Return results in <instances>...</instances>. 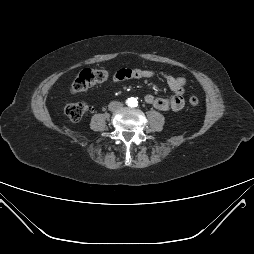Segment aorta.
<instances>
[{"mask_svg": "<svg viewBox=\"0 0 254 254\" xmlns=\"http://www.w3.org/2000/svg\"><path fill=\"white\" fill-rule=\"evenodd\" d=\"M134 103H135V99H130L129 102H128V104H129L130 106L134 105Z\"/></svg>", "mask_w": 254, "mask_h": 254, "instance_id": "1", "label": "aorta"}]
</instances>
